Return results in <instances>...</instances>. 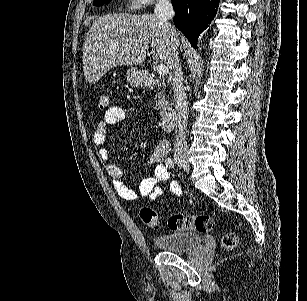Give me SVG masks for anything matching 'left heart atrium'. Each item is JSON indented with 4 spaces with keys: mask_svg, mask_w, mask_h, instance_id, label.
Wrapping results in <instances>:
<instances>
[{
    "mask_svg": "<svg viewBox=\"0 0 307 301\" xmlns=\"http://www.w3.org/2000/svg\"><path fill=\"white\" fill-rule=\"evenodd\" d=\"M155 62H174V61H155Z\"/></svg>",
    "mask_w": 307,
    "mask_h": 301,
    "instance_id": "left-heart-atrium-1",
    "label": "left heart atrium"
}]
</instances>
